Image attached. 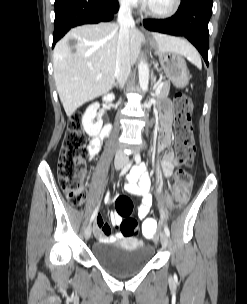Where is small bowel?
Wrapping results in <instances>:
<instances>
[{
  "label": "small bowel",
  "instance_id": "c3829d8e",
  "mask_svg": "<svg viewBox=\"0 0 247 304\" xmlns=\"http://www.w3.org/2000/svg\"><path fill=\"white\" fill-rule=\"evenodd\" d=\"M159 114L160 129L157 142L155 144V149L158 151L167 150L162 156L160 168L163 176L169 178L173 174V170L176 165V159L173 151L168 150L172 143L173 107L171 102L163 101L159 106ZM109 131L110 125H105L100 135L93 137L90 140L88 146L90 158H94L100 152L102 141L104 138H106ZM124 188L127 193L141 198L138 216L140 219H144L151 209L153 199L151 180L145 164L136 165L133 167ZM111 199L112 196L108 195L105 198V202L108 203L111 201ZM110 221L113 225L118 226L122 221V217L117 214V212H112L110 215ZM94 232L95 236L99 239L115 240L123 237V234L119 231L111 234L109 224L97 215Z\"/></svg>",
  "mask_w": 247,
  "mask_h": 304
}]
</instances>
